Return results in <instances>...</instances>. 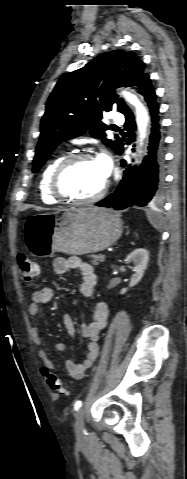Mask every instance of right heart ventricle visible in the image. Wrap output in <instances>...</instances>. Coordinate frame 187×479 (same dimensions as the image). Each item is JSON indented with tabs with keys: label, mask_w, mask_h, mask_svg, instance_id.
<instances>
[{
	"label": "right heart ventricle",
	"mask_w": 187,
	"mask_h": 479,
	"mask_svg": "<svg viewBox=\"0 0 187 479\" xmlns=\"http://www.w3.org/2000/svg\"><path fill=\"white\" fill-rule=\"evenodd\" d=\"M63 158V154L55 156L47 163L40 175L38 184L39 194L41 200L46 204H56L59 202V200L51 193L50 180L55 168Z\"/></svg>",
	"instance_id": "obj_1"
}]
</instances>
